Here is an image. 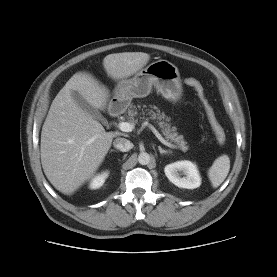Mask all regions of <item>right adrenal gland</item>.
Instances as JSON below:
<instances>
[{
  "label": "right adrenal gland",
  "mask_w": 277,
  "mask_h": 277,
  "mask_svg": "<svg viewBox=\"0 0 277 277\" xmlns=\"http://www.w3.org/2000/svg\"><path fill=\"white\" fill-rule=\"evenodd\" d=\"M111 152H117V150L111 149V150H110V153H111Z\"/></svg>",
  "instance_id": "obj_1"
}]
</instances>
